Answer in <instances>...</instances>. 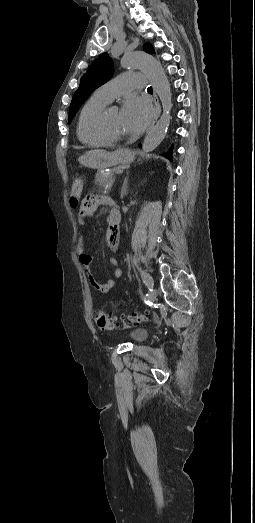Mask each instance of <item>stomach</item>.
I'll return each instance as SVG.
<instances>
[{"label":"stomach","mask_w":255,"mask_h":523,"mask_svg":"<svg viewBox=\"0 0 255 523\" xmlns=\"http://www.w3.org/2000/svg\"><path fill=\"white\" fill-rule=\"evenodd\" d=\"M134 160V154L128 148H119L113 154H100L99 151H88L86 156L80 158L81 164L94 170H107L118 164H131Z\"/></svg>","instance_id":"0dacf381"}]
</instances>
